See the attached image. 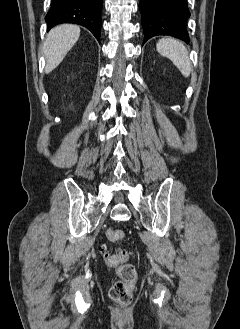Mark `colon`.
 Segmentation results:
<instances>
[{"label":"colon","mask_w":240,"mask_h":329,"mask_svg":"<svg viewBox=\"0 0 240 329\" xmlns=\"http://www.w3.org/2000/svg\"><path fill=\"white\" fill-rule=\"evenodd\" d=\"M107 236L112 242H120L124 238V232L119 229H109ZM105 262L116 269L119 280L110 289V297L113 301L128 305L132 301V292L137 280V272L133 265L124 262L130 257L131 252L125 249L110 252L107 249L102 251Z\"/></svg>","instance_id":"1"}]
</instances>
